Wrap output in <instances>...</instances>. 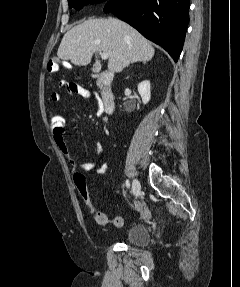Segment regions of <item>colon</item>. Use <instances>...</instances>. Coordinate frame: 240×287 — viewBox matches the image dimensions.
<instances>
[{
	"label": "colon",
	"instance_id": "colon-1",
	"mask_svg": "<svg viewBox=\"0 0 240 287\" xmlns=\"http://www.w3.org/2000/svg\"><path fill=\"white\" fill-rule=\"evenodd\" d=\"M47 68L50 73L56 72L57 63L55 62V60H50ZM60 85L67 89H73L74 87L77 86L74 83H69L66 81H62ZM66 125H67L66 119L61 113L55 112L52 114L50 118V127L53 134L55 135L64 134L66 130ZM73 181L75 183V186L79 192L81 199L83 200V202L89 209L90 213L94 217L95 221L99 225H114L116 227H120L123 225L124 219L122 217L118 216L111 219L95 208L92 202L91 195L88 191L84 175H82L81 173H74Z\"/></svg>",
	"mask_w": 240,
	"mask_h": 287
}]
</instances>
